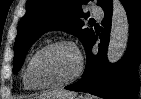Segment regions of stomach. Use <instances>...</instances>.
<instances>
[{
  "label": "stomach",
  "instance_id": "stomach-1",
  "mask_svg": "<svg viewBox=\"0 0 141 99\" xmlns=\"http://www.w3.org/2000/svg\"><path fill=\"white\" fill-rule=\"evenodd\" d=\"M36 99H48V98H40V97H38V98H36ZM82 99H85V98H82Z\"/></svg>",
  "mask_w": 141,
  "mask_h": 99
}]
</instances>
